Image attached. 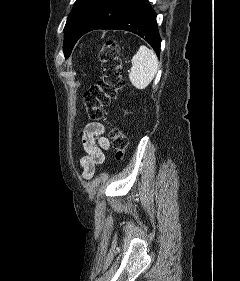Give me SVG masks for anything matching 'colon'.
<instances>
[{
    "label": "colon",
    "instance_id": "5ec220e1",
    "mask_svg": "<svg viewBox=\"0 0 240 281\" xmlns=\"http://www.w3.org/2000/svg\"><path fill=\"white\" fill-rule=\"evenodd\" d=\"M101 78L84 93V106L92 121L104 117V108L116 98L118 91L124 86L123 70L119 57V46L112 40L105 41L100 51ZM111 139L117 158L125 154L128 139L124 133L114 127Z\"/></svg>",
    "mask_w": 240,
    "mask_h": 281
}]
</instances>
